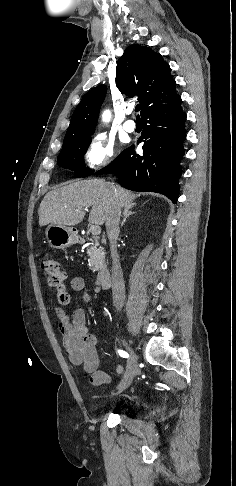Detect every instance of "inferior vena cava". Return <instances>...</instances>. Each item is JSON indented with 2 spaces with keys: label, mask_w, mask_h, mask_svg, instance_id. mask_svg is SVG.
<instances>
[{
  "label": "inferior vena cava",
  "mask_w": 236,
  "mask_h": 486,
  "mask_svg": "<svg viewBox=\"0 0 236 486\" xmlns=\"http://www.w3.org/2000/svg\"><path fill=\"white\" fill-rule=\"evenodd\" d=\"M112 198L111 208L106 220V230L110 243L112 257V296L113 304L116 309H121L125 300V284L119 255L117 253V239L120 233L119 221L121 215V206L117 200V191L113 183H108Z\"/></svg>",
  "instance_id": "obj_1"
}]
</instances>
